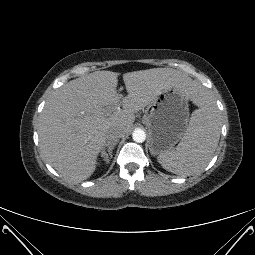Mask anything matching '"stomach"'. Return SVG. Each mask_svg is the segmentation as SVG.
Wrapping results in <instances>:
<instances>
[{
  "label": "stomach",
  "mask_w": 255,
  "mask_h": 255,
  "mask_svg": "<svg viewBox=\"0 0 255 255\" xmlns=\"http://www.w3.org/2000/svg\"><path fill=\"white\" fill-rule=\"evenodd\" d=\"M187 94L176 86L164 89L153 101V112L146 125L149 130V150L152 155L170 151L183 137L189 120Z\"/></svg>",
  "instance_id": "obj_1"
}]
</instances>
